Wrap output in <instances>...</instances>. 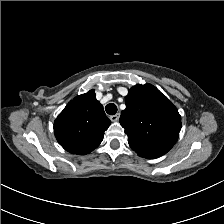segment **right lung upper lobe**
I'll return each mask as SVG.
<instances>
[{"label": "right lung upper lobe", "mask_w": 224, "mask_h": 224, "mask_svg": "<svg viewBox=\"0 0 224 224\" xmlns=\"http://www.w3.org/2000/svg\"><path fill=\"white\" fill-rule=\"evenodd\" d=\"M110 124L94 90H90L67 104L55 120L54 134L61 145H72L76 154H87L102 142Z\"/></svg>", "instance_id": "cb5924a9"}]
</instances>
